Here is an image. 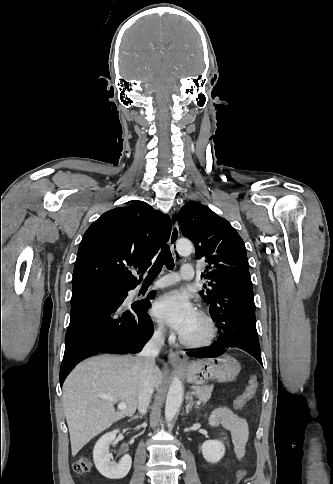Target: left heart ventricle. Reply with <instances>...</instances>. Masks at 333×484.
Returning a JSON list of instances; mask_svg holds the SVG:
<instances>
[{"mask_svg":"<svg viewBox=\"0 0 333 484\" xmlns=\"http://www.w3.org/2000/svg\"><path fill=\"white\" fill-rule=\"evenodd\" d=\"M207 331L206 323L197 315L182 335L188 340L198 341L207 335Z\"/></svg>","mask_w":333,"mask_h":484,"instance_id":"left-heart-ventricle-1","label":"left heart ventricle"}]
</instances>
